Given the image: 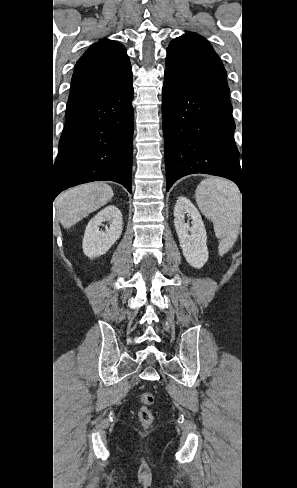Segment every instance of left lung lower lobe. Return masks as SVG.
Wrapping results in <instances>:
<instances>
[{
	"label": "left lung lower lobe",
	"instance_id": "left-lung-lower-lobe-1",
	"mask_svg": "<svg viewBox=\"0 0 297 488\" xmlns=\"http://www.w3.org/2000/svg\"><path fill=\"white\" fill-rule=\"evenodd\" d=\"M162 118L167 191L194 173L225 177L242 190L232 108L165 72Z\"/></svg>",
	"mask_w": 297,
	"mask_h": 488
}]
</instances>
